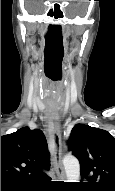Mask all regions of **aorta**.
<instances>
[{"label": "aorta", "instance_id": "1", "mask_svg": "<svg viewBox=\"0 0 115 191\" xmlns=\"http://www.w3.org/2000/svg\"><path fill=\"white\" fill-rule=\"evenodd\" d=\"M67 182H78L80 179V164L77 158L67 155L63 159Z\"/></svg>", "mask_w": 115, "mask_h": 191}]
</instances>
